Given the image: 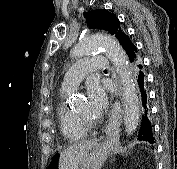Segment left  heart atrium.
I'll use <instances>...</instances> for the list:
<instances>
[{
  "mask_svg": "<svg viewBox=\"0 0 177 169\" xmlns=\"http://www.w3.org/2000/svg\"><path fill=\"white\" fill-rule=\"evenodd\" d=\"M87 102L92 114L101 116L108 106V97L105 89L96 81L87 84Z\"/></svg>",
  "mask_w": 177,
  "mask_h": 169,
  "instance_id": "left-heart-atrium-1",
  "label": "left heart atrium"
}]
</instances>
